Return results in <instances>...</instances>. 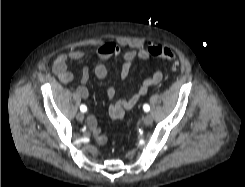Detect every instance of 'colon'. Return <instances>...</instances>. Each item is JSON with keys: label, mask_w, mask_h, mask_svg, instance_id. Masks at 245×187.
<instances>
[{"label": "colon", "mask_w": 245, "mask_h": 187, "mask_svg": "<svg viewBox=\"0 0 245 187\" xmlns=\"http://www.w3.org/2000/svg\"><path fill=\"white\" fill-rule=\"evenodd\" d=\"M148 51L151 56L170 62L172 69L177 68L178 61L172 49L166 46L153 44L149 46Z\"/></svg>", "instance_id": "5ec220e1"}]
</instances>
